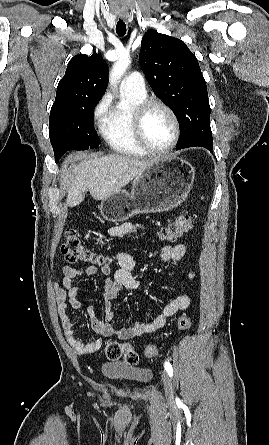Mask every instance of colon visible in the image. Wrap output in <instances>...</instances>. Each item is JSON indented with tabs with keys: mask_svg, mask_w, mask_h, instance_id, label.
Wrapping results in <instances>:
<instances>
[{
	"mask_svg": "<svg viewBox=\"0 0 269 445\" xmlns=\"http://www.w3.org/2000/svg\"><path fill=\"white\" fill-rule=\"evenodd\" d=\"M195 216L180 215L174 220L164 225L158 234L162 242H174L183 234L189 232L194 223ZM61 252L69 263L90 264L91 266H104L109 264V259L86 247L77 232L69 228L65 232L64 241L61 245ZM192 324L188 315H182L177 321V327L180 331H187ZM158 349L154 345L145 348V355L148 358L158 356ZM105 354L110 360H118L121 357L130 365L138 362V354L129 345L120 343L116 340H108L105 344Z\"/></svg>",
	"mask_w": 269,
	"mask_h": 445,
	"instance_id": "obj_1",
	"label": "colon"
}]
</instances>
